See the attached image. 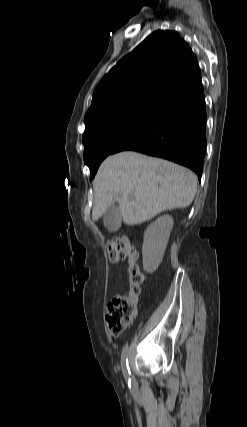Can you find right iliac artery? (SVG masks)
Returning a JSON list of instances; mask_svg holds the SVG:
<instances>
[{"mask_svg": "<svg viewBox=\"0 0 247 427\" xmlns=\"http://www.w3.org/2000/svg\"><path fill=\"white\" fill-rule=\"evenodd\" d=\"M121 367H122L125 379L126 380L128 379L130 381V369L128 366V346L127 345L123 348V351H122Z\"/></svg>", "mask_w": 247, "mask_h": 427, "instance_id": "obj_1", "label": "right iliac artery"}]
</instances>
